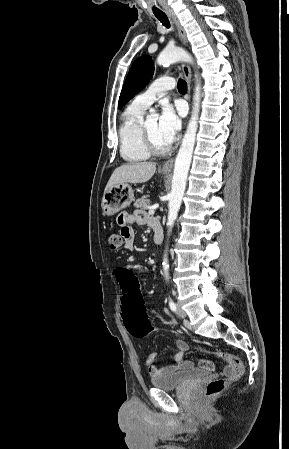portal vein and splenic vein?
Returning a JSON list of instances; mask_svg holds the SVG:
<instances>
[{"instance_id":"portal-vein-and-splenic-vein-1","label":"portal vein and splenic vein","mask_w":289,"mask_h":449,"mask_svg":"<svg viewBox=\"0 0 289 449\" xmlns=\"http://www.w3.org/2000/svg\"><path fill=\"white\" fill-rule=\"evenodd\" d=\"M156 206H152L149 208V214L153 215L155 213Z\"/></svg>"}]
</instances>
